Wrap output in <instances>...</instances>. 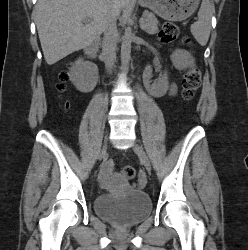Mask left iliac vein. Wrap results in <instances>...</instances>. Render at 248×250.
I'll use <instances>...</instances> for the list:
<instances>
[{
	"mask_svg": "<svg viewBox=\"0 0 248 250\" xmlns=\"http://www.w3.org/2000/svg\"><path fill=\"white\" fill-rule=\"evenodd\" d=\"M133 150L140 158V160H141L142 164L144 165V167L146 168V170L150 171L151 170V163H150V160H149L146 152L144 151V149L141 146H139L138 144H134Z\"/></svg>",
	"mask_w": 248,
	"mask_h": 250,
	"instance_id": "1",
	"label": "left iliac vein"
}]
</instances>
